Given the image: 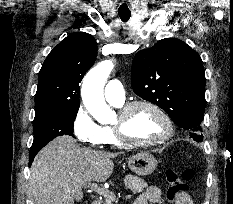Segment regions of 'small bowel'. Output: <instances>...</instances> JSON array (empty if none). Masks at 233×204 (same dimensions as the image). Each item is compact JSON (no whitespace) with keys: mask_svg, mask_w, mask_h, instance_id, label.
<instances>
[{"mask_svg":"<svg viewBox=\"0 0 233 204\" xmlns=\"http://www.w3.org/2000/svg\"><path fill=\"white\" fill-rule=\"evenodd\" d=\"M175 204H193L191 197L185 193L178 197ZM165 204V200L162 197L161 191L155 186L148 187L143 193H141L134 204Z\"/></svg>","mask_w":233,"mask_h":204,"instance_id":"obj_1","label":"small bowel"}]
</instances>
